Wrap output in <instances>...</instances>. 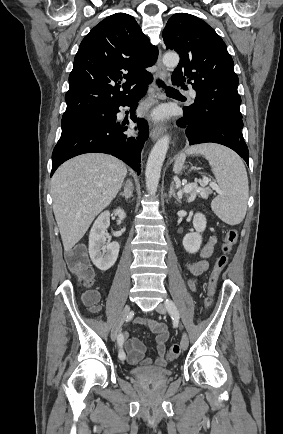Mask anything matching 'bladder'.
<instances>
[{"label":"bladder","mask_w":283,"mask_h":434,"mask_svg":"<svg viewBox=\"0 0 283 434\" xmlns=\"http://www.w3.org/2000/svg\"><path fill=\"white\" fill-rule=\"evenodd\" d=\"M131 373L136 377L141 378H166L171 375V371L167 368H152V367H135L131 369Z\"/></svg>","instance_id":"1"}]
</instances>
